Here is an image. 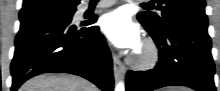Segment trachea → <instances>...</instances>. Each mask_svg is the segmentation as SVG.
<instances>
[{
    "label": "trachea",
    "instance_id": "3493384b",
    "mask_svg": "<svg viewBox=\"0 0 220 91\" xmlns=\"http://www.w3.org/2000/svg\"><path fill=\"white\" fill-rule=\"evenodd\" d=\"M92 1H95V0H92ZM141 6L142 7H151V4H149V3H142Z\"/></svg>",
    "mask_w": 220,
    "mask_h": 91
}]
</instances>
